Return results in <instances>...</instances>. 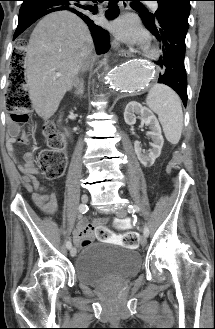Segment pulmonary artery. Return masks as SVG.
Returning <instances> with one entry per match:
<instances>
[{
    "mask_svg": "<svg viewBox=\"0 0 215 329\" xmlns=\"http://www.w3.org/2000/svg\"><path fill=\"white\" fill-rule=\"evenodd\" d=\"M150 6L153 10H157L158 9V4L156 2H151Z\"/></svg>",
    "mask_w": 215,
    "mask_h": 329,
    "instance_id": "obj_1",
    "label": "pulmonary artery"
}]
</instances>
